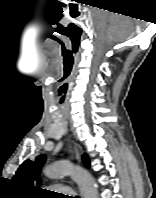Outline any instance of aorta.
<instances>
[{
  "label": "aorta",
  "instance_id": "762f6f07",
  "mask_svg": "<svg viewBox=\"0 0 156 198\" xmlns=\"http://www.w3.org/2000/svg\"><path fill=\"white\" fill-rule=\"evenodd\" d=\"M48 178L55 179L60 176L71 175L81 187L84 198H97L98 189L92 175L79 167L65 162L54 163L44 169Z\"/></svg>",
  "mask_w": 156,
  "mask_h": 198
}]
</instances>
